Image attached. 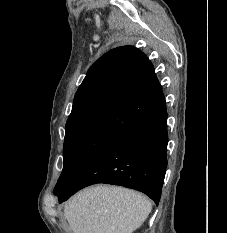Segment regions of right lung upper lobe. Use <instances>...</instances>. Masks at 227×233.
<instances>
[{
  "mask_svg": "<svg viewBox=\"0 0 227 233\" xmlns=\"http://www.w3.org/2000/svg\"><path fill=\"white\" fill-rule=\"evenodd\" d=\"M166 105L154 67L133 46L110 50L78 88L66 134L80 130L119 133Z\"/></svg>",
  "mask_w": 227,
  "mask_h": 233,
  "instance_id": "1",
  "label": "right lung upper lobe"
}]
</instances>
